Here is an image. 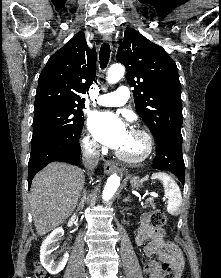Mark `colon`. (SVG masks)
Returning <instances> with one entry per match:
<instances>
[{"mask_svg": "<svg viewBox=\"0 0 221 278\" xmlns=\"http://www.w3.org/2000/svg\"><path fill=\"white\" fill-rule=\"evenodd\" d=\"M149 219L152 225L157 227H163L166 224V216L161 209H154L149 214ZM162 271L164 278H176V273L174 267L169 263H164L162 265ZM36 278H50L47 273L39 266L35 269Z\"/></svg>", "mask_w": 221, "mask_h": 278, "instance_id": "1", "label": "colon"}]
</instances>
